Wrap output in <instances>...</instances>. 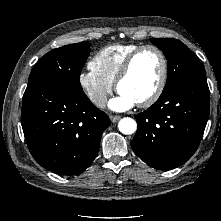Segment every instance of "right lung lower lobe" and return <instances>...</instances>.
Returning a JSON list of instances; mask_svg holds the SVG:
<instances>
[{"mask_svg":"<svg viewBox=\"0 0 221 221\" xmlns=\"http://www.w3.org/2000/svg\"><path fill=\"white\" fill-rule=\"evenodd\" d=\"M21 123L39 165L56 174L78 175L95 159L110 120L83 90L28 84Z\"/></svg>","mask_w":221,"mask_h":221,"instance_id":"obj_1","label":"right lung lower lobe"}]
</instances>
